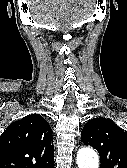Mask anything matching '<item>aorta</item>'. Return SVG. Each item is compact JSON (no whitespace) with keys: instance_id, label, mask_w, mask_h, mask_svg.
Instances as JSON below:
<instances>
[{"instance_id":"obj_1","label":"aorta","mask_w":127,"mask_h":168,"mask_svg":"<svg viewBox=\"0 0 127 168\" xmlns=\"http://www.w3.org/2000/svg\"><path fill=\"white\" fill-rule=\"evenodd\" d=\"M77 164L78 168H98V155L93 149L83 147L77 153Z\"/></svg>"}]
</instances>
